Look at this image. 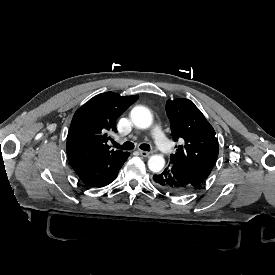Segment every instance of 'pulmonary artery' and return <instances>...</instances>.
Returning <instances> with one entry per match:
<instances>
[{"instance_id": "pulmonary-artery-1", "label": "pulmonary artery", "mask_w": 275, "mask_h": 275, "mask_svg": "<svg viewBox=\"0 0 275 275\" xmlns=\"http://www.w3.org/2000/svg\"><path fill=\"white\" fill-rule=\"evenodd\" d=\"M152 140L155 142V146L157 148V151L164 155L165 157H170L172 155V152L170 150H165L168 147V144L166 142V138L164 137V134L161 131V128L159 126H156L152 132H151ZM116 142L118 144H123L125 142L124 139H117Z\"/></svg>"}]
</instances>
